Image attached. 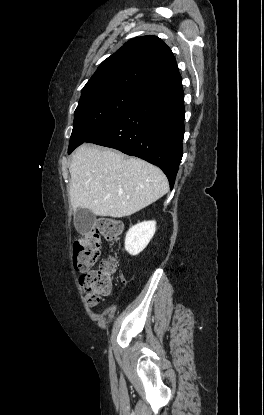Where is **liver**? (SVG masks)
<instances>
[{"label": "liver", "instance_id": "liver-1", "mask_svg": "<svg viewBox=\"0 0 264 415\" xmlns=\"http://www.w3.org/2000/svg\"><path fill=\"white\" fill-rule=\"evenodd\" d=\"M69 194L74 213L130 216L164 196L169 189L158 167L136 157L90 144L78 147L69 166Z\"/></svg>", "mask_w": 264, "mask_h": 415}]
</instances>
